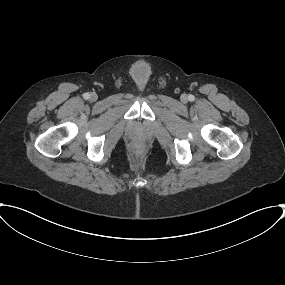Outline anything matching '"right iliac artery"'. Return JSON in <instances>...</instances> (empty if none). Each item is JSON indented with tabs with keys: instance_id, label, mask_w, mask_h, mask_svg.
I'll use <instances>...</instances> for the list:
<instances>
[{
	"instance_id": "1",
	"label": "right iliac artery",
	"mask_w": 285,
	"mask_h": 285,
	"mask_svg": "<svg viewBox=\"0 0 285 285\" xmlns=\"http://www.w3.org/2000/svg\"><path fill=\"white\" fill-rule=\"evenodd\" d=\"M83 98L84 99H89L90 98V94L89 93H84L83 94Z\"/></svg>"
}]
</instances>
